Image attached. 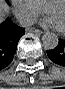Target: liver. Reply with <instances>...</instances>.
Segmentation results:
<instances>
[{"instance_id":"6515ba94","label":"liver","mask_w":65,"mask_h":89,"mask_svg":"<svg viewBox=\"0 0 65 89\" xmlns=\"http://www.w3.org/2000/svg\"><path fill=\"white\" fill-rule=\"evenodd\" d=\"M6 10V6L2 3L1 4V15H2V17H3V13H4V11Z\"/></svg>"}]
</instances>
